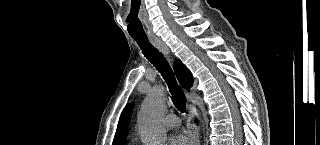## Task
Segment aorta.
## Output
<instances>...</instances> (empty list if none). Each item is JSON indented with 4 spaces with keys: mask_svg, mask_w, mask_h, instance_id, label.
I'll use <instances>...</instances> for the list:
<instances>
[{
    "mask_svg": "<svg viewBox=\"0 0 320 145\" xmlns=\"http://www.w3.org/2000/svg\"><path fill=\"white\" fill-rule=\"evenodd\" d=\"M165 111V96L156 88L142 103L138 116V128L145 145H163L166 132L161 123Z\"/></svg>",
    "mask_w": 320,
    "mask_h": 145,
    "instance_id": "obj_1",
    "label": "aorta"
}]
</instances>
